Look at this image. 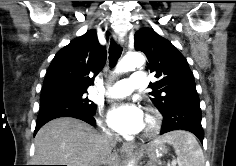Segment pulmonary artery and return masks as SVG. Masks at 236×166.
<instances>
[{
    "label": "pulmonary artery",
    "instance_id": "obj_1",
    "mask_svg": "<svg viewBox=\"0 0 236 166\" xmlns=\"http://www.w3.org/2000/svg\"><path fill=\"white\" fill-rule=\"evenodd\" d=\"M146 73L144 71H135L130 79H122L114 83L110 95L115 98H122L129 95L134 89L145 86Z\"/></svg>",
    "mask_w": 236,
    "mask_h": 166
}]
</instances>
